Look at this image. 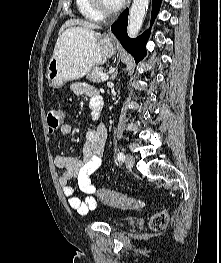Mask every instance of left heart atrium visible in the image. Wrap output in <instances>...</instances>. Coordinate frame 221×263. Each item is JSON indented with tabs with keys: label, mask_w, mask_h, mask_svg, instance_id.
Wrapping results in <instances>:
<instances>
[{
	"label": "left heart atrium",
	"mask_w": 221,
	"mask_h": 263,
	"mask_svg": "<svg viewBox=\"0 0 221 263\" xmlns=\"http://www.w3.org/2000/svg\"><path fill=\"white\" fill-rule=\"evenodd\" d=\"M120 2H124V0H120Z\"/></svg>",
	"instance_id": "obj_1"
}]
</instances>
